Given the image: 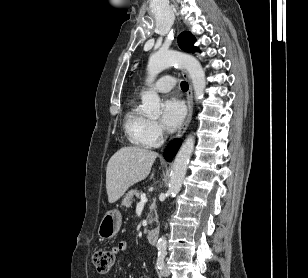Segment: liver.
<instances>
[{
	"mask_svg": "<svg viewBox=\"0 0 308 278\" xmlns=\"http://www.w3.org/2000/svg\"><path fill=\"white\" fill-rule=\"evenodd\" d=\"M157 156L156 152L144 148H120L107 164L106 190L109 203H115L129 187L144 180Z\"/></svg>",
	"mask_w": 308,
	"mask_h": 278,
	"instance_id": "1",
	"label": "liver"
}]
</instances>
